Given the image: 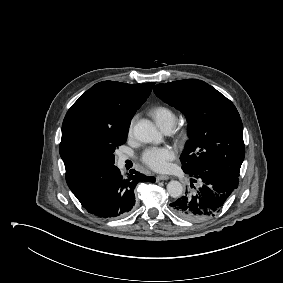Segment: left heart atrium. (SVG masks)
Returning <instances> with one entry per match:
<instances>
[{
    "instance_id": "1",
    "label": "left heart atrium",
    "mask_w": 283,
    "mask_h": 283,
    "mask_svg": "<svg viewBox=\"0 0 283 283\" xmlns=\"http://www.w3.org/2000/svg\"><path fill=\"white\" fill-rule=\"evenodd\" d=\"M175 158V151L171 147H152L147 149L142 156V161L156 171H164L169 162Z\"/></svg>"
}]
</instances>
